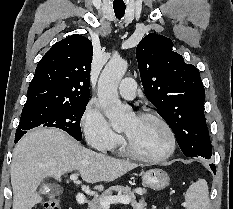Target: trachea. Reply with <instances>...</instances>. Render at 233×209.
Listing matches in <instances>:
<instances>
[{
	"mask_svg": "<svg viewBox=\"0 0 233 209\" xmlns=\"http://www.w3.org/2000/svg\"><path fill=\"white\" fill-rule=\"evenodd\" d=\"M114 12L118 19H121L125 14V6H114Z\"/></svg>",
	"mask_w": 233,
	"mask_h": 209,
	"instance_id": "3493384b",
	"label": "trachea"
}]
</instances>
